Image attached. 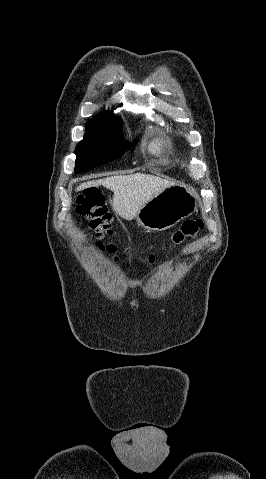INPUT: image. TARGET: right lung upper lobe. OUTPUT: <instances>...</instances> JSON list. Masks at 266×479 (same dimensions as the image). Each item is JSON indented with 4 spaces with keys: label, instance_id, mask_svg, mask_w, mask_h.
<instances>
[{
    "label": "right lung upper lobe",
    "instance_id": "right-lung-upper-lobe-1",
    "mask_svg": "<svg viewBox=\"0 0 266 479\" xmlns=\"http://www.w3.org/2000/svg\"><path fill=\"white\" fill-rule=\"evenodd\" d=\"M91 121H114L120 122L117 117L113 115L111 112H103L95 116Z\"/></svg>",
    "mask_w": 266,
    "mask_h": 479
}]
</instances>
